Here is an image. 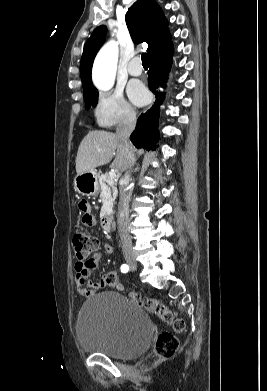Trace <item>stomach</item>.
<instances>
[{
	"instance_id": "stomach-1",
	"label": "stomach",
	"mask_w": 267,
	"mask_h": 391,
	"mask_svg": "<svg viewBox=\"0 0 267 391\" xmlns=\"http://www.w3.org/2000/svg\"><path fill=\"white\" fill-rule=\"evenodd\" d=\"M98 173L91 170L78 174L74 179V189L83 196H96L99 192Z\"/></svg>"
}]
</instances>
